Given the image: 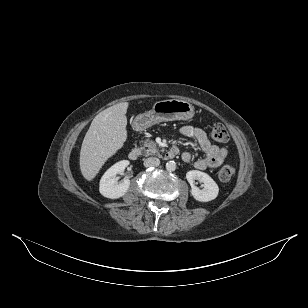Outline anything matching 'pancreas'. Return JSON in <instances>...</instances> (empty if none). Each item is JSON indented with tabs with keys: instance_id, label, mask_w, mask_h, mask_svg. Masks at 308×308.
Returning a JSON list of instances; mask_svg holds the SVG:
<instances>
[{
	"instance_id": "1",
	"label": "pancreas",
	"mask_w": 308,
	"mask_h": 308,
	"mask_svg": "<svg viewBox=\"0 0 308 308\" xmlns=\"http://www.w3.org/2000/svg\"><path fill=\"white\" fill-rule=\"evenodd\" d=\"M140 149L142 151L143 156H149V155L160 156L159 148H158L157 144L153 141L142 142Z\"/></svg>"
}]
</instances>
